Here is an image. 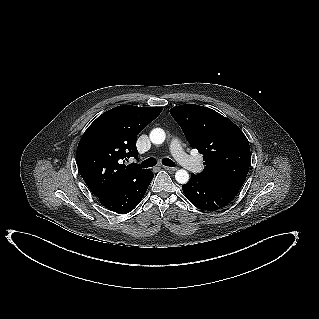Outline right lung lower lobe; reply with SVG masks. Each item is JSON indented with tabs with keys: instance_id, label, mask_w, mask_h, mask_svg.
<instances>
[{
	"instance_id": "obj_1",
	"label": "right lung lower lobe",
	"mask_w": 319,
	"mask_h": 319,
	"mask_svg": "<svg viewBox=\"0 0 319 319\" xmlns=\"http://www.w3.org/2000/svg\"><path fill=\"white\" fill-rule=\"evenodd\" d=\"M153 177L154 174L149 169H145L99 200L111 211L119 214L129 213L139 204Z\"/></svg>"
}]
</instances>
